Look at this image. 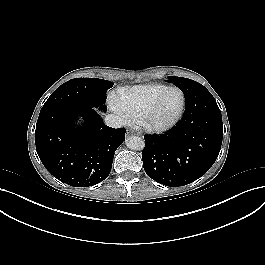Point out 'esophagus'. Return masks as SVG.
<instances>
[{"instance_id":"esophagus-1","label":"esophagus","mask_w":265,"mask_h":265,"mask_svg":"<svg viewBox=\"0 0 265 265\" xmlns=\"http://www.w3.org/2000/svg\"><path fill=\"white\" fill-rule=\"evenodd\" d=\"M127 133L128 134H135V132L134 131H131V130H129Z\"/></svg>"}]
</instances>
